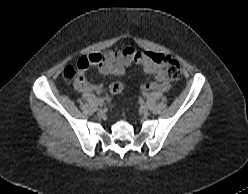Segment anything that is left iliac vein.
Here are the masks:
<instances>
[{"label":"left iliac vein","instance_id":"4c4485c4","mask_svg":"<svg viewBox=\"0 0 248 194\" xmlns=\"http://www.w3.org/2000/svg\"><path fill=\"white\" fill-rule=\"evenodd\" d=\"M140 112L142 113V114H147L148 112H149V108H148V106L146 105V104H143V105H141L140 106Z\"/></svg>","mask_w":248,"mask_h":194}]
</instances>
